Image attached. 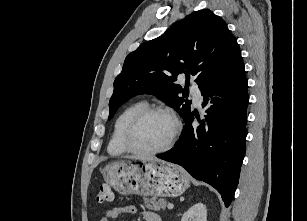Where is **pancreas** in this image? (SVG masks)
Segmentation results:
<instances>
[{
	"mask_svg": "<svg viewBox=\"0 0 307 221\" xmlns=\"http://www.w3.org/2000/svg\"><path fill=\"white\" fill-rule=\"evenodd\" d=\"M145 207L150 210L160 211L165 210L166 208V201L164 199H158L156 197H152L150 199H144Z\"/></svg>",
	"mask_w": 307,
	"mask_h": 221,
	"instance_id": "obj_1",
	"label": "pancreas"
}]
</instances>
